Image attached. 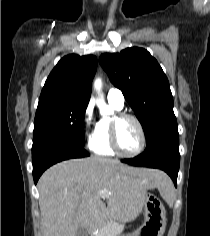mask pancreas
<instances>
[{"label": "pancreas", "instance_id": "cf45deb5", "mask_svg": "<svg viewBox=\"0 0 210 236\" xmlns=\"http://www.w3.org/2000/svg\"><path fill=\"white\" fill-rule=\"evenodd\" d=\"M124 229V224H120L116 218L109 219L107 221V224L105 225V228L99 229L98 233L94 236H103L102 234L107 232L108 236H116L119 232H121Z\"/></svg>", "mask_w": 210, "mask_h": 236}]
</instances>
